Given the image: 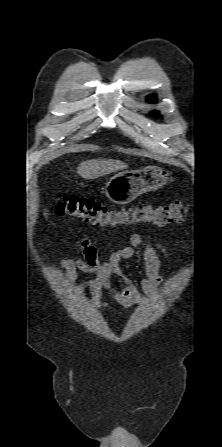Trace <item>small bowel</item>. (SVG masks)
<instances>
[{
    "label": "small bowel",
    "instance_id": "c3829d8e",
    "mask_svg": "<svg viewBox=\"0 0 222 447\" xmlns=\"http://www.w3.org/2000/svg\"><path fill=\"white\" fill-rule=\"evenodd\" d=\"M131 246L124 247L109 254L103 261L98 256L97 247L93 242L83 237L79 240V246L83 251L84 260L65 259L61 266L66 269L70 283L77 280V272L92 274V279L83 281L77 286L78 291L89 289L94 304L107 309L108 304L101 301L106 292L111 298L118 301L126 308L155 298L157 288L163 281L160 270L159 252H163L167 258L169 254L161 245L146 243L140 235L133 234L130 237ZM144 248V263L146 279L141 282V289L123 272L120 262L134 256V248ZM117 279V283L115 282Z\"/></svg>",
    "mask_w": 222,
    "mask_h": 447
}]
</instances>
